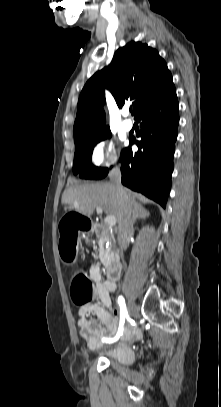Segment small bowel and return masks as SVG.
<instances>
[{
	"label": "small bowel",
	"mask_w": 221,
	"mask_h": 407,
	"mask_svg": "<svg viewBox=\"0 0 221 407\" xmlns=\"http://www.w3.org/2000/svg\"><path fill=\"white\" fill-rule=\"evenodd\" d=\"M89 278L93 283L92 296L100 300L102 305L83 306L78 311L80 335L89 350H97L105 345L103 339L113 336L118 330L117 309L113 306L111 293L116 290V282L103 279L98 263H93L89 270ZM95 314L97 320L89 318ZM140 338V332L130 327L125 331L123 341L132 343ZM107 343V342H106Z\"/></svg>",
	"instance_id": "small-bowel-1"
}]
</instances>
